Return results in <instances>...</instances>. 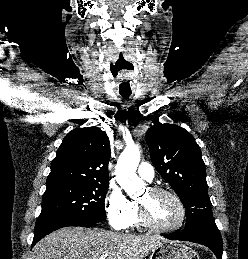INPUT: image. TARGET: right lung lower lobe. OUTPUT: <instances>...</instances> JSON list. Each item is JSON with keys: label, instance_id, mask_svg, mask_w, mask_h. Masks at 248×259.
I'll return each mask as SVG.
<instances>
[{"label": "right lung lower lobe", "instance_id": "obj_1", "mask_svg": "<svg viewBox=\"0 0 248 259\" xmlns=\"http://www.w3.org/2000/svg\"><path fill=\"white\" fill-rule=\"evenodd\" d=\"M67 226L95 227L97 226V223H83L77 220L61 217L38 219L35 226L32 247L47 234Z\"/></svg>", "mask_w": 248, "mask_h": 259}]
</instances>
